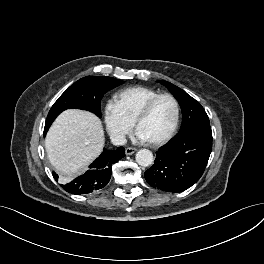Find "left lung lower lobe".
<instances>
[{"mask_svg": "<svg viewBox=\"0 0 264 264\" xmlns=\"http://www.w3.org/2000/svg\"><path fill=\"white\" fill-rule=\"evenodd\" d=\"M212 151L210 126L177 134L159 148L156 159L145 172L146 181L167 192H182L202 176Z\"/></svg>", "mask_w": 264, "mask_h": 264, "instance_id": "0a47b994", "label": "left lung lower lobe"}]
</instances>
